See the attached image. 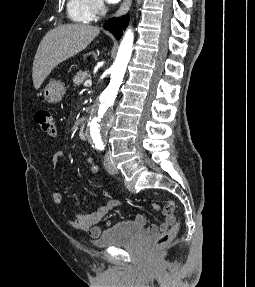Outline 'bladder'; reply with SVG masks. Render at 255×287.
I'll return each mask as SVG.
<instances>
[{"label": "bladder", "instance_id": "31cf9c89", "mask_svg": "<svg viewBox=\"0 0 255 287\" xmlns=\"http://www.w3.org/2000/svg\"><path fill=\"white\" fill-rule=\"evenodd\" d=\"M147 229L133 221H121L105 230L94 244L100 248L128 245L144 236Z\"/></svg>", "mask_w": 255, "mask_h": 287}]
</instances>
